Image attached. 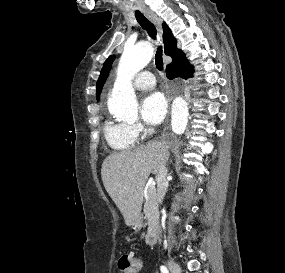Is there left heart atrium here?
<instances>
[{"label":"left heart atrium","instance_id":"1","mask_svg":"<svg viewBox=\"0 0 285 273\" xmlns=\"http://www.w3.org/2000/svg\"><path fill=\"white\" fill-rule=\"evenodd\" d=\"M166 112L167 102L160 92L148 94L141 102V117L149 125L159 124L164 119Z\"/></svg>","mask_w":285,"mask_h":273}]
</instances>
